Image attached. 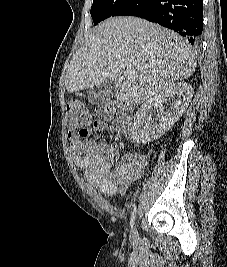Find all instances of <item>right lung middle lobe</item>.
I'll return each instance as SVG.
<instances>
[{
    "mask_svg": "<svg viewBox=\"0 0 227 267\" xmlns=\"http://www.w3.org/2000/svg\"><path fill=\"white\" fill-rule=\"evenodd\" d=\"M130 0H93L90 10L94 25H97L102 20L113 16Z\"/></svg>",
    "mask_w": 227,
    "mask_h": 267,
    "instance_id": "right-lung-middle-lobe-1",
    "label": "right lung middle lobe"
}]
</instances>
